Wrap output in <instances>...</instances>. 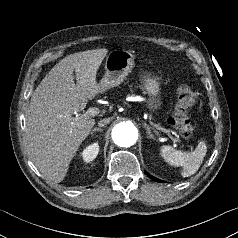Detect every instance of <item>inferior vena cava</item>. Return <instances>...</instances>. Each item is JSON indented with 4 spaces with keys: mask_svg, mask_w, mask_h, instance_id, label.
Listing matches in <instances>:
<instances>
[{
    "mask_svg": "<svg viewBox=\"0 0 238 238\" xmlns=\"http://www.w3.org/2000/svg\"><path fill=\"white\" fill-rule=\"evenodd\" d=\"M109 122H110V118H104L98 122V125L100 127H103V126L107 125Z\"/></svg>",
    "mask_w": 238,
    "mask_h": 238,
    "instance_id": "1",
    "label": "inferior vena cava"
}]
</instances>
